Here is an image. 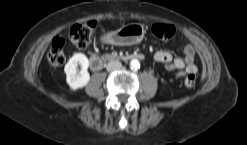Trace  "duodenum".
Wrapping results in <instances>:
<instances>
[{
    "mask_svg": "<svg viewBox=\"0 0 247 145\" xmlns=\"http://www.w3.org/2000/svg\"><path fill=\"white\" fill-rule=\"evenodd\" d=\"M143 58L144 56L141 53H129L126 55H121V56L116 57V59L122 60V61H128V60H133V59L141 60ZM89 65L92 70L98 71L103 66V60L99 56H92L89 59Z\"/></svg>",
    "mask_w": 247,
    "mask_h": 145,
    "instance_id": "obj_1",
    "label": "duodenum"
}]
</instances>
